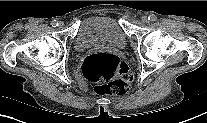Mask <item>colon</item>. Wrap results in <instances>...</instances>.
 I'll return each instance as SVG.
<instances>
[{"mask_svg": "<svg viewBox=\"0 0 207 123\" xmlns=\"http://www.w3.org/2000/svg\"><path fill=\"white\" fill-rule=\"evenodd\" d=\"M84 77L94 84L97 94H125L132 82L128 64L111 54H94L87 57L82 65Z\"/></svg>", "mask_w": 207, "mask_h": 123, "instance_id": "1", "label": "colon"}]
</instances>
